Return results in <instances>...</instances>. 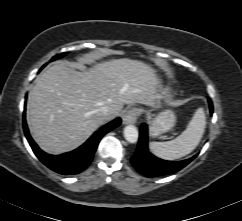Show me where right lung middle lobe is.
Masks as SVG:
<instances>
[{"label":"right lung middle lobe","instance_id":"dd1d6c3e","mask_svg":"<svg viewBox=\"0 0 242 221\" xmlns=\"http://www.w3.org/2000/svg\"><path fill=\"white\" fill-rule=\"evenodd\" d=\"M63 55H64V54H58V55H56L55 57H53L52 60H55V59H57V58H61Z\"/></svg>","mask_w":242,"mask_h":221}]
</instances>
